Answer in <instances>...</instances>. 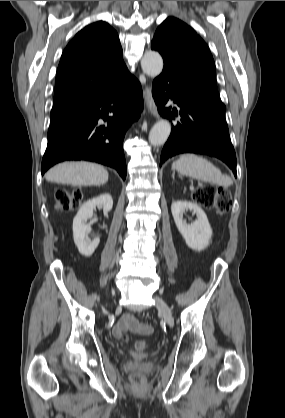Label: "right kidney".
<instances>
[{
  "instance_id": "right-kidney-1",
  "label": "right kidney",
  "mask_w": 285,
  "mask_h": 418,
  "mask_svg": "<svg viewBox=\"0 0 285 418\" xmlns=\"http://www.w3.org/2000/svg\"><path fill=\"white\" fill-rule=\"evenodd\" d=\"M96 207L103 208V212L111 211L113 199L110 194H103L85 202L73 219V238L79 252L85 257H90L99 245L100 239L92 241L88 239L87 221L93 216Z\"/></svg>"
}]
</instances>
